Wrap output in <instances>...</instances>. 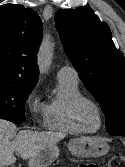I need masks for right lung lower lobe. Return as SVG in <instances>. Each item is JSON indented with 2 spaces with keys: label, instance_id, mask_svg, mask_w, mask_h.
<instances>
[{
  "label": "right lung lower lobe",
  "instance_id": "98d812e1",
  "mask_svg": "<svg viewBox=\"0 0 125 167\" xmlns=\"http://www.w3.org/2000/svg\"><path fill=\"white\" fill-rule=\"evenodd\" d=\"M0 119H5V120L11 121L15 124H19V123L23 122V121H17V120L11 119V118L4 116V115H0Z\"/></svg>",
  "mask_w": 125,
  "mask_h": 167
}]
</instances>
